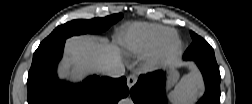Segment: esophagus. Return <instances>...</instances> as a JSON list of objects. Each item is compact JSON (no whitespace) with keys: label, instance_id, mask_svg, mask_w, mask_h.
Wrapping results in <instances>:
<instances>
[{"label":"esophagus","instance_id":"esophagus-1","mask_svg":"<svg viewBox=\"0 0 252 104\" xmlns=\"http://www.w3.org/2000/svg\"><path fill=\"white\" fill-rule=\"evenodd\" d=\"M137 79L138 78L136 74H131L127 77V86L129 89L132 88L136 84Z\"/></svg>","mask_w":252,"mask_h":104}]
</instances>
